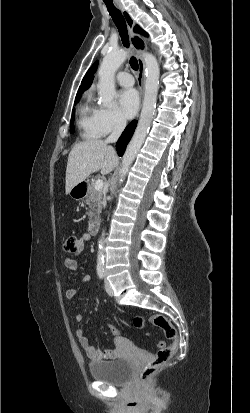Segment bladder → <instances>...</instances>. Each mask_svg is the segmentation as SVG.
I'll return each mask as SVG.
<instances>
[{
    "instance_id": "bladder-1",
    "label": "bladder",
    "mask_w": 250,
    "mask_h": 413,
    "mask_svg": "<svg viewBox=\"0 0 250 413\" xmlns=\"http://www.w3.org/2000/svg\"><path fill=\"white\" fill-rule=\"evenodd\" d=\"M133 368L132 360L126 357L89 364V372L93 379L111 385L125 384L130 379Z\"/></svg>"
}]
</instances>
